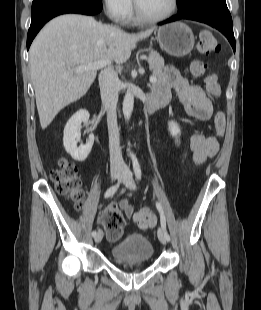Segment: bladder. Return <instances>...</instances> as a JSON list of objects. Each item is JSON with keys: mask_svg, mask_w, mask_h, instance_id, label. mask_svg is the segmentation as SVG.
<instances>
[{"mask_svg": "<svg viewBox=\"0 0 261 310\" xmlns=\"http://www.w3.org/2000/svg\"><path fill=\"white\" fill-rule=\"evenodd\" d=\"M111 256L118 261H149L154 253L153 245L146 235L130 233L111 248Z\"/></svg>", "mask_w": 261, "mask_h": 310, "instance_id": "31cf9c89", "label": "bladder"}]
</instances>
